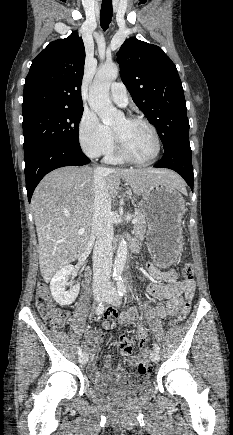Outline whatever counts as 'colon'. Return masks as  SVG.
I'll return each mask as SVG.
<instances>
[{
    "label": "colon",
    "mask_w": 233,
    "mask_h": 435,
    "mask_svg": "<svg viewBox=\"0 0 233 435\" xmlns=\"http://www.w3.org/2000/svg\"><path fill=\"white\" fill-rule=\"evenodd\" d=\"M182 277L186 285H190L193 281L194 266L192 263H186L183 265ZM35 304L43 318V320L52 327H62L69 319V312L65 309L56 308L50 300V292L48 286L45 283H39L35 293ZM191 307V300L188 293L184 295V303L181 308L180 314L174 320L178 322L185 318ZM145 354L141 355V360L137 363L138 373H143L150 370V365L144 361Z\"/></svg>",
    "instance_id": "obj_1"
}]
</instances>
